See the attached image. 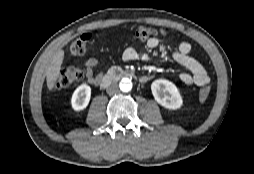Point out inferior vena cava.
<instances>
[{
	"mask_svg": "<svg viewBox=\"0 0 254 174\" xmlns=\"http://www.w3.org/2000/svg\"><path fill=\"white\" fill-rule=\"evenodd\" d=\"M118 90H119V88H118L117 83H111V84L107 87V89H106V91H107V93H108L109 95L116 94V93L118 92Z\"/></svg>",
	"mask_w": 254,
	"mask_h": 174,
	"instance_id": "1",
	"label": "inferior vena cava"
}]
</instances>
